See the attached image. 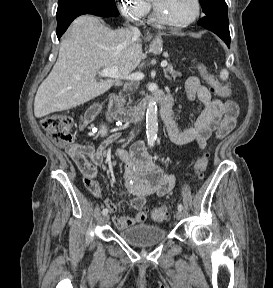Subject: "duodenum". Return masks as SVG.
Masks as SVG:
<instances>
[{
  "label": "duodenum",
  "instance_id": "1",
  "mask_svg": "<svg viewBox=\"0 0 273 288\" xmlns=\"http://www.w3.org/2000/svg\"><path fill=\"white\" fill-rule=\"evenodd\" d=\"M152 103L161 105V117L164 122L171 118L173 99L160 91L154 92L137 107L129 110L123 108L121 101L116 94H111L108 102V117L117 122L133 123L144 117Z\"/></svg>",
  "mask_w": 273,
  "mask_h": 288
}]
</instances>
